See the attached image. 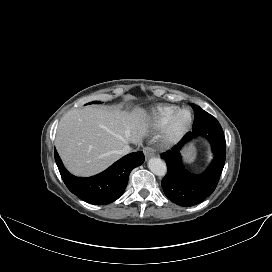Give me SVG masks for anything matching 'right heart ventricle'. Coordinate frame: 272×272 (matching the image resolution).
Masks as SVG:
<instances>
[{"label": "right heart ventricle", "mask_w": 272, "mask_h": 272, "mask_svg": "<svg viewBox=\"0 0 272 272\" xmlns=\"http://www.w3.org/2000/svg\"><path fill=\"white\" fill-rule=\"evenodd\" d=\"M176 106H160L152 111L147 122L154 128L164 127L170 116L177 110Z\"/></svg>", "instance_id": "obj_1"}]
</instances>
